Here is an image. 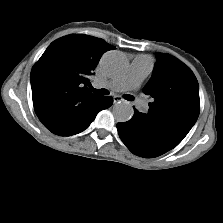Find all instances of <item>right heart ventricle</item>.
Returning a JSON list of instances; mask_svg holds the SVG:
<instances>
[{"instance_id":"right-heart-ventricle-1","label":"right heart ventricle","mask_w":223,"mask_h":223,"mask_svg":"<svg viewBox=\"0 0 223 223\" xmlns=\"http://www.w3.org/2000/svg\"><path fill=\"white\" fill-rule=\"evenodd\" d=\"M136 60H141L143 62H146V58L144 56H139L136 58Z\"/></svg>"}]
</instances>
